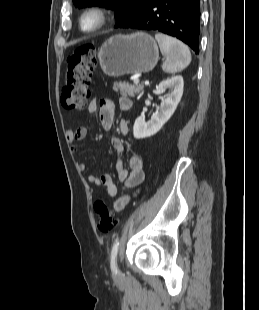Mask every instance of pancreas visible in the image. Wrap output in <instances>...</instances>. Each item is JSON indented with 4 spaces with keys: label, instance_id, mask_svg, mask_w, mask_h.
Masks as SVG:
<instances>
[{
    "label": "pancreas",
    "instance_id": "1",
    "mask_svg": "<svg viewBox=\"0 0 259 310\" xmlns=\"http://www.w3.org/2000/svg\"><path fill=\"white\" fill-rule=\"evenodd\" d=\"M143 87V84L130 85L127 82H115L113 84V90L115 92H120L122 97H134L143 90Z\"/></svg>",
    "mask_w": 259,
    "mask_h": 310
}]
</instances>
